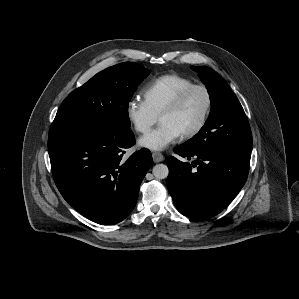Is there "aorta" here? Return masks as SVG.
I'll return each mask as SVG.
<instances>
[{
    "instance_id": "obj_1",
    "label": "aorta",
    "mask_w": 299,
    "mask_h": 299,
    "mask_svg": "<svg viewBox=\"0 0 299 299\" xmlns=\"http://www.w3.org/2000/svg\"><path fill=\"white\" fill-rule=\"evenodd\" d=\"M152 173L156 179H165L168 177L169 169L165 164H157L153 167Z\"/></svg>"
}]
</instances>
